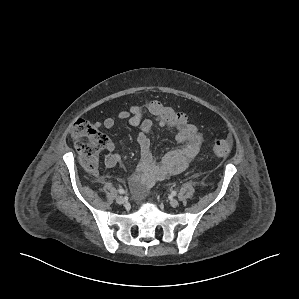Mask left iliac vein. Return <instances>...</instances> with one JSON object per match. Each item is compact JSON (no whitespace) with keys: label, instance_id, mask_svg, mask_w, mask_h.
Instances as JSON below:
<instances>
[{"label":"left iliac vein","instance_id":"left-iliac-vein-1","mask_svg":"<svg viewBox=\"0 0 299 299\" xmlns=\"http://www.w3.org/2000/svg\"><path fill=\"white\" fill-rule=\"evenodd\" d=\"M178 204H179V202H178L177 199H171V200H170V205H171L172 207H177Z\"/></svg>","mask_w":299,"mask_h":299}]
</instances>
